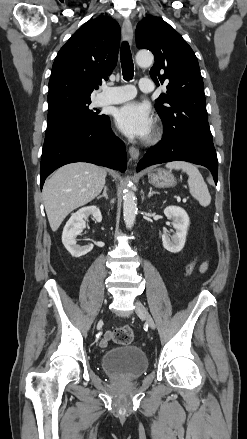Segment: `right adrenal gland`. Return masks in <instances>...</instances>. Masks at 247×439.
I'll use <instances>...</instances> for the list:
<instances>
[{
    "mask_svg": "<svg viewBox=\"0 0 247 439\" xmlns=\"http://www.w3.org/2000/svg\"><path fill=\"white\" fill-rule=\"evenodd\" d=\"M108 188L107 186H104L103 194L98 196L97 199H100L102 197H105L106 200H108V194H107Z\"/></svg>",
    "mask_w": 247,
    "mask_h": 439,
    "instance_id": "obj_1",
    "label": "right adrenal gland"
}]
</instances>
